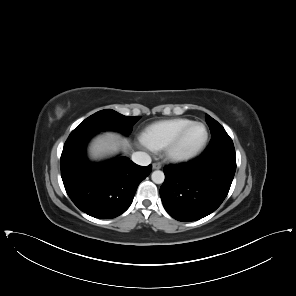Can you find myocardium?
Masks as SVG:
<instances>
[{
	"label": "myocardium",
	"instance_id": "1",
	"mask_svg": "<svg viewBox=\"0 0 296 296\" xmlns=\"http://www.w3.org/2000/svg\"><path fill=\"white\" fill-rule=\"evenodd\" d=\"M196 125L201 126L204 129V137L201 144L195 150L189 153H178L176 151V147L180 142L182 136L187 132L188 129ZM208 136H209L208 129L204 123L199 121H192L186 126H184L182 129H180L176 133V135L166 144V146L164 147V156L167 160L175 163L187 162V161L193 160L197 156H199L204 150L208 141Z\"/></svg>",
	"mask_w": 296,
	"mask_h": 296
}]
</instances>
